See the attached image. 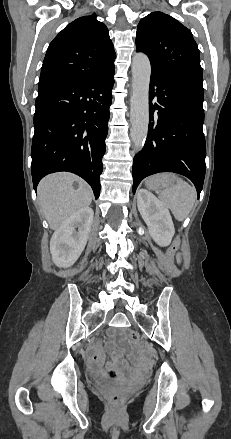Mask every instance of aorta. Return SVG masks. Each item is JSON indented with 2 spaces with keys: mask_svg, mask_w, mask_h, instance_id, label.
Masks as SVG:
<instances>
[{
  "mask_svg": "<svg viewBox=\"0 0 231 439\" xmlns=\"http://www.w3.org/2000/svg\"><path fill=\"white\" fill-rule=\"evenodd\" d=\"M151 65L149 58L137 53L132 59V95L130 99V136L136 148L146 140L149 125V83Z\"/></svg>",
  "mask_w": 231,
  "mask_h": 439,
  "instance_id": "762f6f07",
  "label": "aorta"
}]
</instances>
